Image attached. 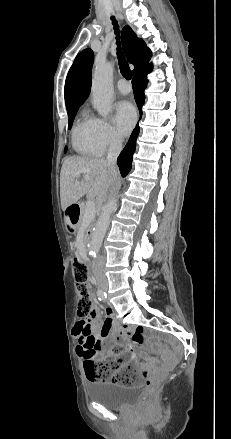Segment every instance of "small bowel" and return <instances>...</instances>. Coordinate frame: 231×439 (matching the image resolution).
Masks as SVG:
<instances>
[{"label":"small bowel","instance_id":"small-bowel-1","mask_svg":"<svg viewBox=\"0 0 231 439\" xmlns=\"http://www.w3.org/2000/svg\"><path fill=\"white\" fill-rule=\"evenodd\" d=\"M90 295L93 296L91 292ZM100 315V308L95 306L88 319H80L75 323L73 333L78 340L77 355L84 357L85 352L91 349L105 358H110L112 345L115 341L122 340L126 343V349L119 358L120 366H131L136 372L147 375L149 371L146 366L142 365L140 368L135 361L137 349L144 342L142 331L117 326L113 320L112 309L105 311V321L102 324L98 322Z\"/></svg>","mask_w":231,"mask_h":439}]
</instances>
